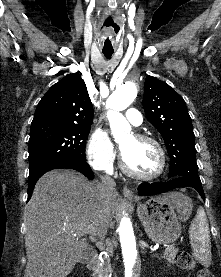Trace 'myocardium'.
I'll use <instances>...</instances> for the list:
<instances>
[{"instance_id": "1", "label": "myocardium", "mask_w": 221, "mask_h": 277, "mask_svg": "<svg viewBox=\"0 0 221 277\" xmlns=\"http://www.w3.org/2000/svg\"><path fill=\"white\" fill-rule=\"evenodd\" d=\"M134 138L139 142H148V143L153 144L156 147V149L159 153V156H160L159 168L155 173L150 174V175H142V174L136 173L128 167V165L124 159L123 153L121 151L120 158H119V165H120L122 172L124 174H126L127 176L137 179V180L151 181V180L157 179L158 177H160L163 174L165 167H166V152H165L163 146L156 138L149 136V135L136 134V135H134Z\"/></svg>"}]
</instances>
